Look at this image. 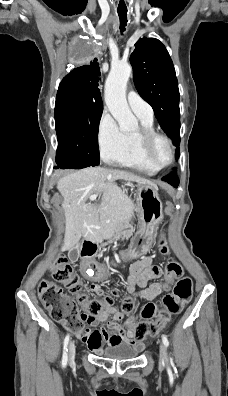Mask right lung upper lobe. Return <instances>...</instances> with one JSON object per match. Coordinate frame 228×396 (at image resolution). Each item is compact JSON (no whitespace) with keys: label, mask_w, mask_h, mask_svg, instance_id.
<instances>
[{"label":"right lung upper lobe","mask_w":228,"mask_h":396,"mask_svg":"<svg viewBox=\"0 0 228 396\" xmlns=\"http://www.w3.org/2000/svg\"><path fill=\"white\" fill-rule=\"evenodd\" d=\"M100 69L97 58L87 65L73 69L59 85V92L75 95L80 101L89 105H102L101 94L98 88Z\"/></svg>","instance_id":"1"}]
</instances>
